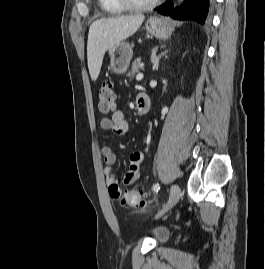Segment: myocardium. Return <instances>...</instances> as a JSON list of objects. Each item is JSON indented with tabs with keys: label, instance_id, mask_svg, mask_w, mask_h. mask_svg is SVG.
I'll return each instance as SVG.
<instances>
[{
	"label": "myocardium",
	"instance_id": "obj_1",
	"mask_svg": "<svg viewBox=\"0 0 265 269\" xmlns=\"http://www.w3.org/2000/svg\"><path fill=\"white\" fill-rule=\"evenodd\" d=\"M117 1L126 9L140 11L150 9L159 4L162 0H149L146 2H136L134 0H117Z\"/></svg>",
	"mask_w": 265,
	"mask_h": 269
}]
</instances>
